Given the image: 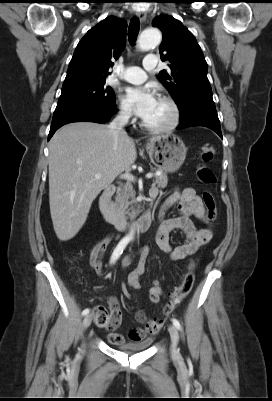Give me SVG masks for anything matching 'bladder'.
Masks as SVG:
<instances>
[{
	"label": "bladder",
	"instance_id": "obj_1",
	"mask_svg": "<svg viewBox=\"0 0 272 401\" xmlns=\"http://www.w3.org/2000/svg\"><path fill=\"white\" fill-rule=\"evenodd\" d=\"M152 343V340L148 339L144 342L141 343H126V344H120L119 348L125 352H140L145 349H147Z\"/></svg>",
	"mask_w": 272,
	"mask_h": 401
}]
</instances>
